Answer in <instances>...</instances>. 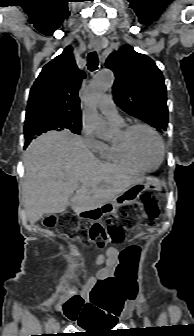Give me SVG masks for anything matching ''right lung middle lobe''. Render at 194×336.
<instances>
[{
	"label": "right lung middle lobe",
	"mask_w": 194,
	"mask_h": 336,
	"mask_svg": "<svg viewBox=\"0 0 194 336\" xmlns=\"http://www.w3.org/2000/svg\"><path fill=\"white\" fill-rule=\"evenodd\" d=\"M46 124H47L46 121H38V122H35L33 125L25 126V128H24L25 136L29 135V134H33V133L43 131L45 129H47V130H57V131L68 129L75 134H80V130H81V124H75L74 125V124H69V123H64V122H55L52 125V126H54L53 128H49L48 125H46Z\"/></svg>",
	"instance_id": "dd1d6c3e"
}]
</instances>
